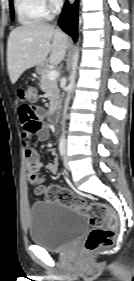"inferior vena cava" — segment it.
<instances>
[{"mask_svg":"<svg viewBox=\"0 0 134 281\" xmlns=\"http://www.w3.org/2000/svg\"><path fill=\"white\" fill-rule=\"evenodd\" d=\"M59 1H60V0H59ZM57 5H61V3H60V2H58V3H57Z\"/></svg>","mask_w":134,"mask_h":281,"instance_id":"1","label":"inferior vena cava"}]
</instances>
